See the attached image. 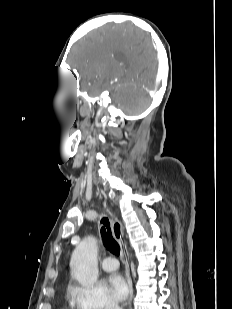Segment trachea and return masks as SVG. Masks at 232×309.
<instances>
[{
  "label": "trachea",
  "instance_id": "3493384b",
  "mask_svg": "<svg viewBox=\"0 0 232 309\" xmlns=\"http://www.w3.org/2000/svg\"><path fill=\"white\" fill-rule=\"evenodd\" d=\"M101 236L103 239V243L105 247L113 254L119 255L120 254V246L117 241L114 239L110 227V222L108 218L103 217L101 219Z\"/></svg>",
  "mask_w": 232,
  "mask_h": 309
}]
</instances>
